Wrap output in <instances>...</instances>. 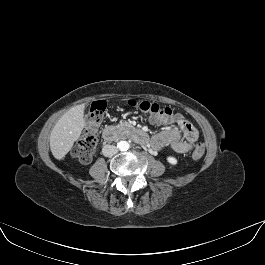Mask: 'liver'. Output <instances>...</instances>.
<instances>
[{"label":"liver","instance_id":"obj_1","mask_svg":"<svg viewBox=\"0 0 265 265\" xmlns=\"http://www.w3.org/2000/svg\"><path fill=\"white\" fill-rule=\"evenodd\" d=\"M84 105H77L68 110L55 124L50 133V149L53 156L60 160L73 147L84 128Z\"/></svg>","mask_w":265,"mask_h":265}]
</instances>
